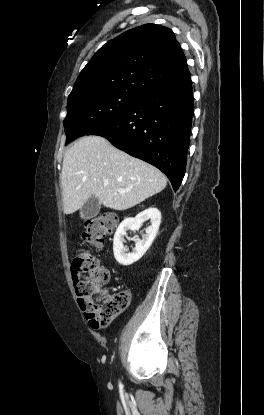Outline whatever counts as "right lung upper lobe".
Returning <instances> with one entry per match:
<instances>
[{"mask_svg": "<svg viewBox=\"0 0 264 415\" xmlns=\"http://www.w3.org/2000/svg\"><path fill=\"white\" fill-rule=\"evenodd\" d=\"M189 76L173 31L145 24L100 48L79 74L68 99L112 91L143 97Z\"/></svg>", "mask_w": 264, "mask_h": 415, "instance_id": "right-lung-upper-lobe-1", "label": "right lung upper lobe"}]
</instances>
